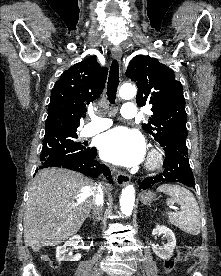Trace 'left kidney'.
Masks as SVG:
<instances>
[{
    "instance_id": "obj_1",
    "label": "left kidney",
    "mask_w": 221,
    "mask_h": 276,
    "mask_svg": "<svg viewBox=\"0 0 221 276\" xmlns=\"http://www.w3.org/2000/svg\"><path fill=\"white\" fill-rule=\"evenodd\" d=\"M163 234L167 239V244L164 248L152 247L154 253L161 259H169L173 255L174 248L176 246V238L171 229L166 226L157 225L153 231L152 235Z\"/></svg>"
}]
</instances>
